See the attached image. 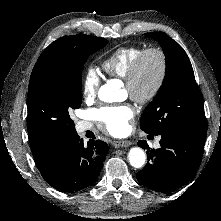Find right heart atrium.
Wrapping results in <instances>:
<instances>
[{"mask_svg":"<svg viewBox=\"0 0 221 221\" xmlns=\"http://www.w3.org/2000/svg\"><path fill=\"white\" fill-rule=\"evenodd\" d=\"M100 83V74L94 67L89 66L86 69L82 80V93L84 98L92 100L98 92Z\"/></svg>","mask_w":221,"mask_h":221,"instance_id":"right-heart-atrium-1","label":"right heart atrium"}]
</instances>
